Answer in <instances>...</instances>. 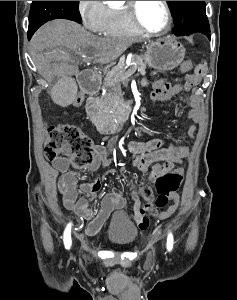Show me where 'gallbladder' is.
I'll return each instance as SVG.
<instances>
[{
	"instance_id": "obj_1",
	"label": "gallbladder",
	"mask_w": 237,
	"mask_h": 300,
	"mask_svg": "<svg viewBox=\"0 0 237 300\" xmlns=\"http://www.w3.org/2000/svg\"><path fill=\"white\" fill-rule=\"evenodd\" d=\"M59 81L56 82V87H51L52 101L56 105H73L78 91L74 76H60Z\"/></svg>"
}]
</instances>
